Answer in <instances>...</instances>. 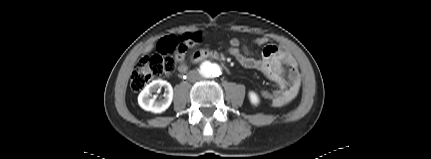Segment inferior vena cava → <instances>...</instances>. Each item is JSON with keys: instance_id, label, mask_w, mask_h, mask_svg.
Segmentation results:
<instances>
[{"instance_id": "obj_1", "label": "inferior vena cava", "mask_w": 431, "mask_h": 159, "mask_svg": "<svg viewBox=\"0 0 431 159\" xmlns=\"http://www.w3.org/2000/svg\"><path fill=\"white\" fill-rule=\"evenodd\" d=\"M189 79H190V81L194 82V81H198V80H200V79H201V77H200V75H199L197 72L192 71V72H190V74H189Z\"/></svg>"}]
</instances>
